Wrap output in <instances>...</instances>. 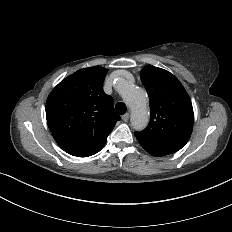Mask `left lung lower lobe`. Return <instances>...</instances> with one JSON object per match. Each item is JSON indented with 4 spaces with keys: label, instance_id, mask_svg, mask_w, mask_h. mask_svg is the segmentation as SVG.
<instances>
[{
    "label": "left lung lower lobe",
    "instance_id": "0a47b994",
    "mask_svg": "<svg viewBox=\"0 0 232 232\" xmlns=\"http://www.w3.org/2000/svg\"><path fill=\"white\" fill-rule=\"evenodd\" d=\"M139 143L141 144V146L151 155L153 156H165V155H169L172 153H175L176 151L162 146V145H157V144H150L144 141H140L138 140Z\"/></svg>",
    "mask_w": 232,
    "mask_h": 232
}]
</instances>
